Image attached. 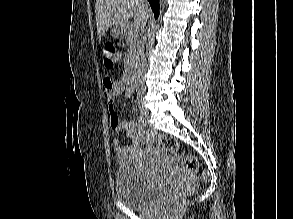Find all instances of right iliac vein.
Wrapping results in <instances>:
<instances>
[{"instance_id": "obj_1", "label": "right iliac vein", "mask_w": 293, "mask_h": 219, "mask_svg": "<svg viewBox=\"0 0 293 219\" xmlns=\"http://www.w3.org/2000/svg\"><path fill=\"white\" fill-rule=\"evenodd\" d=\"M139 108H140L141 116L146 119L149 114L147 108L145 107V105L143 103L139 104Z\"/></svg>"}]
</instances>
